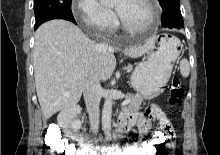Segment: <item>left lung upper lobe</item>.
<instances>
[{
	"mask_svg": "<svg viewBox=\"0 0 220 155\" xmlns=\"http://www.w3.org/2000/svg\"><path fill=\"white\" fill-rule=\"evenodd\" d=\"M159 3L163 10L180 7V0H159Z\"/></svg>",
	"mask_w": 220,
	"mask_h": 155,
	"instance_id": "obj_1",
	"label": "left lung upper lobe"
}]
</instances>
